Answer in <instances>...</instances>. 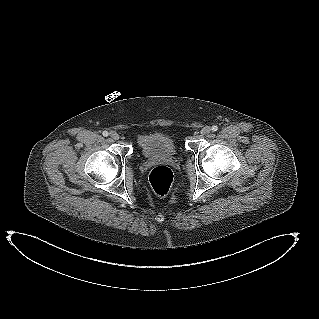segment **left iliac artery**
<instances>
[{
  "label": "left iliac artery",
  "mask_w": 319,
  "mask_h": 319,
  "mask_svg": "<svg viewBox=\"0 0 319 319\" xmlns=\"http://www.w3.org/2000/svg\"><path fill=\"white\" fill-rule=\"evenodd\" d=\"M218 130V127L216 125L212 126V131H217Z\"/></svg>",
  "instance_id": "1"
}]
</instances>
